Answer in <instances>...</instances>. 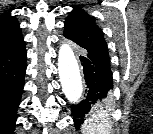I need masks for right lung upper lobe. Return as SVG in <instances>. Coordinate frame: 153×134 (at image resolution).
<instances>
[{
  "label": "right lung upper lobe",
  "mask_w": 153,
  "mask_h": 134,
  "mask_svg": "<svg viewBox=\"0 0 153 134\" xmlns=\"http://www.w3.org/2000/svg\"><path fill=\"white\" fill-rule=\"evenodd\" d=\"M23 41L19 23L10 13L0 18V53L6 51Z\"/></svg>",
  "instance_id": "1"
}]
</instances>
